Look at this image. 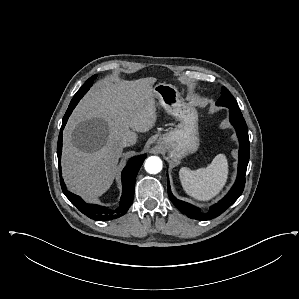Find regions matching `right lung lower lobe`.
<instances>
[{
  "label": "right lung lower lobe",
  "mask_w": 299,
  "mask_h": 299,
  "mask_svg": "<svg viewBox=\"0 0 299 299\" xmlns=\"http://www.w3.org/2000/svg\"><path fill=\"white\" fill-rule=\"evenodd\" d=\"M78 102H79L78 100L71 101L65 113V116L63 117L62 126L58 138V145H57L59 170H61L60 159H61V152H62V131L68 120V117L70 116V114L72 113L73 109L75 108ZM145 158H146V154L133 157L132 159L129 160V162L123 169L122 196H121L120 206L115 210H110L107 207H102L95 204L85 203L79 196L66 190L63 179L60 180L62 191L66 195V197L71 201V203H73L79 209V211H81L83 214H85L87 217L91 219L99 220V221H108V220L119 218L120 216L124 215L128 211L130 205L132 204L134 198L136 176Z\"/></svg>",
  "instance_id": "obj_1"
}]
</instances>
